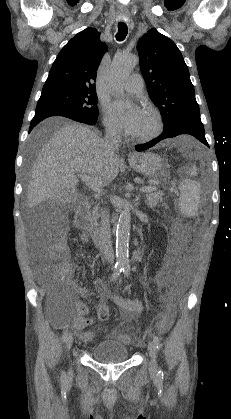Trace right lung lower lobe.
I'll return each instance as SVG.
<instances>
[{"label":"right lung lower lobe","instance_id":"right-lung-lower-lobe-1","mask_svg":"<svg viewBox=\"0 0 231 419\" xmlns=\"http://www.w3.org/2000/svg\"><path fill=\"white\" fill-rule=\"evenodd\" d=\"M45 118H47V116H45V115H36V116H34V118L32 119V121H31V124H30V129H29V132L40 122V121H42V120H44ZM84 123H87V124H90V125H94L95 123H97V120L96 121H93V122H84Z\"/></svg>","mask_w":231,"mask_h":419}]
</instances>
